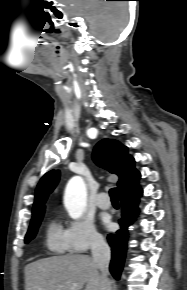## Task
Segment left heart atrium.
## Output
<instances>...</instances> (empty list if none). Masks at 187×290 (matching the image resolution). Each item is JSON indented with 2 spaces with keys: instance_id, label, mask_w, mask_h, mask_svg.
Wrapping results in <instances>:
<instances>
[{
  "instance_id": "1",
  "label": "left heart atrium",
  "mask_w": 187,
  "mask_h": 290,
  "mask_svg": "<svg viewBox=\"0 0 187 290\" xmlns=\"http://www.w3.org/2000/svg\"><path fill=\"white\" fill-rule=\"evenodd\" d=\"M105 224L108 226L109 225V222L108 221H105Z\"/></svg>"
}]
</instances>
